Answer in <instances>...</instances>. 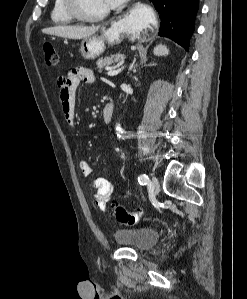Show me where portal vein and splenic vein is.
<instances>
[{"label": "portal vein and splenic vein", "instance_id": "portal-vein-and-splenic-vein-1", "mask_svg": "<svg viewBox=\"0 0 247 299\" xmlns=\"http://www.w3.org/2000/svg\"><path fill=\"white\" fill-rule=\"evenodd\" d=\"M123 68L124 67H121V68H118V69H116V67L107 68V70H108L107 75L108 76L117 75V74H119L122 71Z\"/></svg>", "mask_w": 247, "mask_h": 299}]
</instances>
